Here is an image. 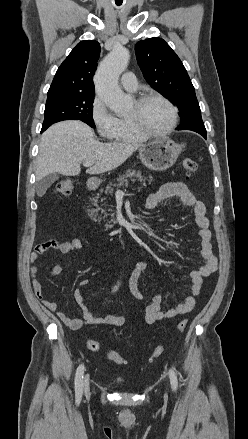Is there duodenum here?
<instances>
[{"mask_svg": "<svg viewBox=\"0 0 248 439\" xmlns=\"http://www.w3.org/2000/svg\"><path fill=\"white\" fill-rule=\"evenodd\" d=\"M88 188H89V190H95L96 185L92 181H90Z\"/></svg>", "mask_w": 248, "mask_h": 439, "instance_id": "duodenum-1", "label": "duodenum"}]
</instances>
